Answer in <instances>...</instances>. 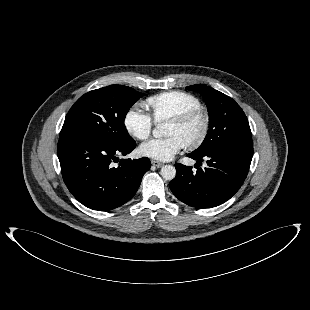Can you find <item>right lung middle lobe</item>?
Segmentation results:
<instances>
[{"instance_id":"1","label":"right lung middle lobe","mask_w":310,"mask_h":310,"mask_svg":"<svg viewBox=\"0 0 310 310\" xmlns=\"http://www.w3.org/2000/svg\"><path fill=\"white\" fill-rule=\"evenodd\" d=\"M143 95L123 85H110L84 94L69 110L60 138L90 137L115 144L132 140L124 119Z\"/></svg>"}]
</instances>
